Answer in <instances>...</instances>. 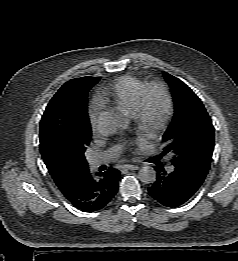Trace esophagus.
<instances>
[{
    "label": "esophagus",
    "instance_id": "34e87169",
    "mask_svg": "<svg viewBox=\"0 0 238 261\" xmlns=\"http://www.w3.org/2000/svg\"><path fill=\"white\" fill-rule=\"evenodd\" d=\"M122 168L128 169V170H137V169H139V167L137 165H132V164H124L122 166Z\"/></svg>",
    "mask_w": 238,
    "mask_h": 261
}]
</instances>
